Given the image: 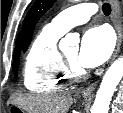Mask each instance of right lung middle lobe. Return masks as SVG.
<instances>
[{
  "label": "right lung middle lobe",
  "instance_id": "1",
  "mask_svg": "<svg viewBox=\"0 0 123 113\" xmlns=\"http://www.w3.org/2000/svg\"><path fill=\"white\" fill-rule=\"evenodd\" d=\"M19 55H20V53H14L13 73L16 77L18 75Z\"/></svg>",
  "mask_w": 123,
  "mask_h": 113
}]
</instances>
